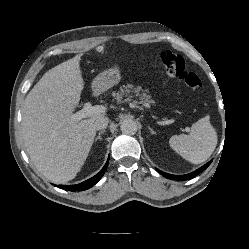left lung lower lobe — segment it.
Listing matches in <instances>:
<instances>
[{"instance_id":"0a47b994","label":"left lung lower lobe","mask_w":249,"mask_h":249,"mask_svg":"<svg viewBox=\"0 0 249 249\" xmlns=\"http://www.w3.org/2000/svg\"><path fill=\"white\" fill-rule=\"evenodd\" d=\"M211 162H212V160L210 162H208L207 164L203 165L202 167H200L199 169L195 170L194 172H192L190 174H186V175H171V174H167L165 172H162L158 169L157 170L159 173H161L163 176H165L166 178H169V179L189 180V179H192L193 177L197 176L202 171H204L210 165Z\"/></svg>"}]
</instances>
